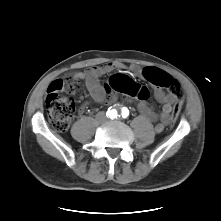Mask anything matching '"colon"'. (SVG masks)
Returning <instances> with one entry per match:
<instances>
[{
  "label": "colon",
  "mask_w": 221,
  "mask_h": 221,
  "mask_svg": "<svg viewBox=\"0 0 221 221\" xmlns=\"http://www.w3.org/2000/svg\"><path fill=\"white\" fill-rule=\"evenodd\" d=\"M145 77L154 85L166 88L176 97L182 94L180 83L170 74L155 68H146ZM75 95L79 92V86L68 79H57L51 83L46 98V109L50 123L57 131H65L73 117L75 110V100L72 97L64 96L62 93ZM125 92L141 100H146L150 96L149 89L137 83H131L125 88ZM180 113V106L176 104L173 107L172 115L177 117Z\"/></svg>",
  "instance_id": "5ec220e1"
}]
</instances>
